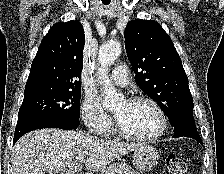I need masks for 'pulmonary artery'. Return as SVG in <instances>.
I'll use <instances>...</instances> for the list:
<instances>
[{"mask_svg": "<svg viewBox=\"0 0 224 174\" xmlns=\"http://www.w3.org/2000/svg\"><path fill=\"white\" fill-rule=\"evenodd\" d=\"M110 79L118 86L125 87L129 84V77L125 66H117L111 73Z\"/></svg>", "mask_w": 224, "mask_h": 174, "instance_id": "obj_1", "label": "pulmonary artery"}]
</instances>
